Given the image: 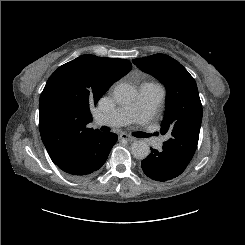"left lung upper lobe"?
<instances>
[{
	"label": "left lung upper lobe",
	"instance_id": "5c2ea615",
	"mask_svg": "<svg viewBox=\"0 0 245 245\" xmlns=\"http://www.w3.org/2000/svg\"><path fill=\"white\" fill-rule=\"evenodd\" d=\"M133 63L165 85L166 108L160 132L171 137L163 145L192 159L202 122V104L194 78L178 61L165 54L134 59Z\"/></svg>",
	"mask_w": 245,
	"mask_h": 245
}]
</instances>
